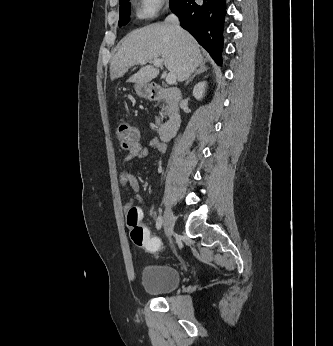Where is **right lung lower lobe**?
I'll return each mask as SVG.
<instances>
[{
	"label": "right lung lower lobe",
	"instance_id": "98d812e1",
	"mask_svg": "<svg viewBox=\"0 0 333 346\" xmlns=\"http://www.w3.org/2000/svg\"><path fill=\"white\" fill-rule=\"evenodd\" d=\"M170 9L179 16L181 26L221 65L225 0H174Z\"/></svg>",
	"mask_w": 333,
	"mask_h": 346
}]
</instances>
